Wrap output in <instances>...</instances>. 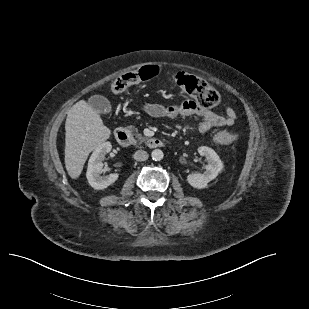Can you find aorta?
Returning a JSON list of instances; mask_svg holds the SVG:
<instances>
[{
	"label": "aorta",
	"mask_w": 309,
	"mask_h": 309,
	"mask_svg": "<svg viewBox=\"0 0 309 309\" xmlns=\"http://www.w3.org/2000/svg\"><path fill=\"white\" fill-rule=\"evenodd\" d=\"M151 157H152V159H153L154 161H160V160L163 159L164 154H163L162 150H160V149H155V150L152 151Z\"/></svg>",
	"instance_id": "aorta-1"
}]
</instances>
